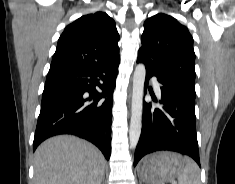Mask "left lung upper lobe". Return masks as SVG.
Wrapping results in <instances>:
<instances>
[{
	"instance_id": "obj_1",
	"label": "left lung upper lobe",
	"mask_w": 235,
	"mask_h": 184,
	"mask_svg": "<svg viewBox=\"0 0 235 184\" xmlns=\"http://www.w3.org/2000/svg\"><path fill=\"white\" fill-rule=\"evenodd\" d=\"M138 58L195 98V53L188 29L173 17L157 14L144 22Z\"/></svg>"
}]
</instances>
